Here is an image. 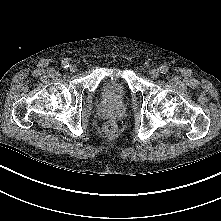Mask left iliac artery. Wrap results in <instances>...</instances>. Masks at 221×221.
Segmentation results:
<instances>
[{
    "instance_id": "obj_1",
    "label": "left iliac artery",
    "mask_w": 221,
    "mask_h": 221,
    "mask_svg": "<svg viewBox=\"0 0 221 221\" xmlns=\"http://www.w3.org/2000/svg\"><path fill=\"white\" fill-rule=\"evenodd\" d=\"M160 72H161L162 74H166V73L168 72V67L165 66V65L161 66V67H160Z\"/></svg>"
}]
</instances>
